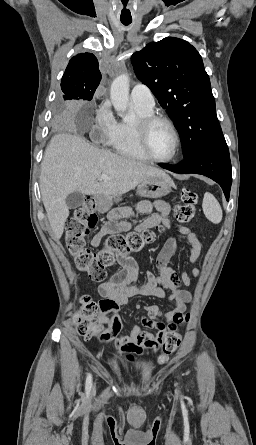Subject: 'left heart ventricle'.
<instances>
[{"label": "left heart ventricle", "instance_id": "b2bd125f", "mask_svg": "<svg viewBox=\"0 0 256 445\" xmlns=\"http://www.w3.org/2000/svg\"><path fill=\"white\" fill-rule=\"evenodd\" d=\"M149 145L152 153L159 158H168L175 147V138L168 125L156 123L149 132Z\"/></svg>", "mask_w": 256, "mask_h": 445}]
</instances>
